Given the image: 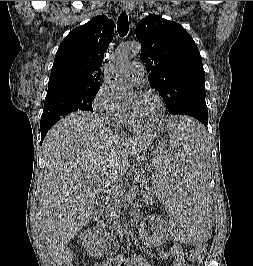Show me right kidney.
I'll return each mask as SVG.
<instances>
[{
    "mask_svg": "<svg viewBox=\"0 0 253 266\" xmlns=\"http://www.w3.org/2000/svg\"><path fill=\"white\" fill-rule=\"evenodd\" d=\"M106 235L107 234H104L102 229L97 227H93L91 229L88 228L81 234L80 239L82 241V245L90 256L99 257L105 253Z\"/></svg>",
    "mask_w": 253,
    "mask_h": 266,
    "instance_id": "1",
    "label": "right kidney"
}]
</instances>
